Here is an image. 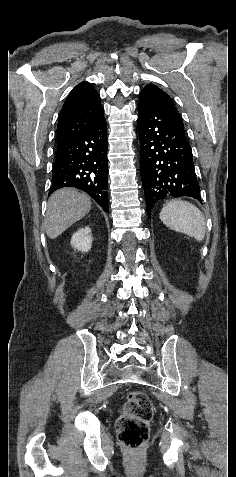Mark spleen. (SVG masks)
I'll use <instances>...</instances> for the list:
<instances>
[{"label": "spleen", "instance_id": "1", "mask_svg": "<svg viewBox=\"0 0 236 477\" xmlns=\"http://www.w3.org/2000/svg\"><path fill=\"white\" fill-rule=\"evenodd\" d=\"M160 220L170 229L204 240L206 221L203 213L193 204L183 200L167 203L159 214Z\"/></svg>", "mask_w": 236, "mask_h": 477}]
</instances>
